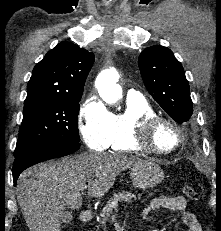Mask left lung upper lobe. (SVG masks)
I'll use <instances>...</instances> for the list:
<instances>
[{
  "mask_svg": "<svg viewBox=\"0 0 221 231\" xmlns=\"http://www.w3.org/2000/svg\"><path fill=\"white\" fill-rule=\"evenodd\" d=\"M145 86L156 102L178 123L193 113L188 81L181 63L166 47L155 45L143 50L138 59Z\"/></svg>",
  "mask_w": 221,
  "mask_h": 231,
  "instance_id": "obj_1",
  "label": "left lung upper lobe"
}]
</instances>
